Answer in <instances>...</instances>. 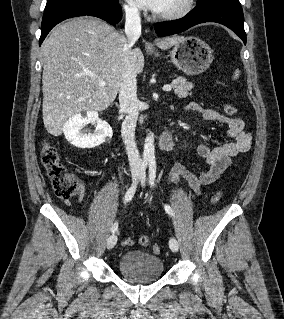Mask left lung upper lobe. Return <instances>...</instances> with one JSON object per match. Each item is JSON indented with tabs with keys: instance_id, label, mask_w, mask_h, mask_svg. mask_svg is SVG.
Listing matches in <instances>:
<instances>
[{
	"instance_id": "5c2ea615",
	"label": "left lung upper lobe",
	"mask_w": 284,
	"mask_h": 319,
	"mask_svg": "<svg viewBox=\"0 0 284 319\" xmlns=\"http://www.w3.org/2000/svg\"><path fill=\"white\" fill-rule=\"evenodd\" d=\"M211 1H214V0H198V5H203V4L211 2Z\"/></svg>"
}]
</instances>
